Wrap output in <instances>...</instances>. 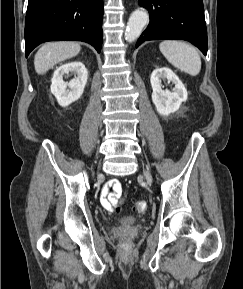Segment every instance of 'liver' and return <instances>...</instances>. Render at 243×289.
Returning <instances> with one entry per match:
<instances>
[{
    "instance_id": "obj_1",
    "label": "liver",
    "mask_w": 243,
    "mask_h": 289,
    "mask_svg": "<svg viewBox=\"0 0 243 289\" xmlns=\"http://www.w3.org/2000/svg\"><path fill=\"white\" fill-rule=\"evenodd\" d=\"M81 46L76 42L61 41L45 43L34 57V67L38 74H43L57 63L79 54Z\"/></svg>"
}]
</instances>
